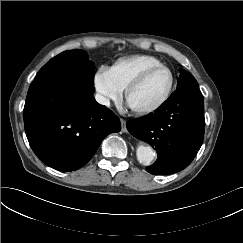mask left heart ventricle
Masks as SVG:
<instances>
[{"mask_svg": "<svg viewBox=\"0 0 243 243\" xmlns=\"http://www.w3.org/2000/svg\"><path fill=\"white\" fill-rule=\"evenodd\" d=\"M169 73L165 69L151 72L144 81L131 92L128 104L132 108H143L157 102L166 92L169 85Z\"/></svg>", "mask_w": 243, "mask_h": 243, "instance_id": "b2bd125f", "label": "left heart ventricle"}]
</instances>
